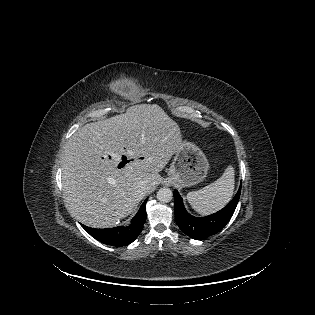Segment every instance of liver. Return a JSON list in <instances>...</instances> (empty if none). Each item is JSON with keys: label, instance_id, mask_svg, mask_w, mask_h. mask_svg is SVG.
<instances>
[{"label": "liver", "instance_id": "obj_1", "mask_svg": "<svg viewBox=\"0 0 315 315\" xmlns=\"http://www.w3.org/2000/svg\"><path fill=\"white\" fill-rule=\"evenodd\" d=\"M181 146L178 124L156 104L135 105L124 114L84 125L62 156L68 210L89 227L114 225L145 196L137 193L140 182L153 191L162 179L159 172ZM123 154L131 161L118 169Z\"/></svg>", "mask_w": 315, "mask_h": 315}]
</instances>
